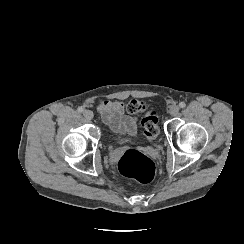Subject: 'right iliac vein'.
Instances as JSON below:
<instances>
[{
	"label": "right iliac vein",
	"instance_id": "63e3f726",
	"mask_svg": "<svg viewBox=\"0 0 244 244\" xmlns=\"http://www.w3.org/2000/svg\"><path fill=\"white\" fill-rule=\"evenodd\" d=\"M83 115L85 116L86 119L91 120L94 117V114L91 110H85L83 112Z\"/></svg>",
	"mask_w": 244,
	"mask_h": 244
}]
</instances>
